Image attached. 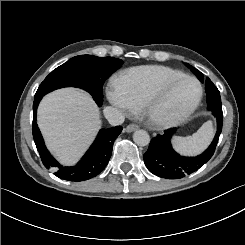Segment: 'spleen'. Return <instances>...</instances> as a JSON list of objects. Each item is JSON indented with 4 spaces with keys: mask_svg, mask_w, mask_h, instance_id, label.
Masks as SVG:
<instances>
[{
    "mask_svg": "<svg viewBox=\"0 0 245 245\" xmlns=\"http://www.w3.org/2000/svg\"><path fill=\"white\" fill-rule=\"evenodd\" d=\"M214 137V128L211 120L205 122L196 133L187 137L174 136L173 147L183 155H198L211 143Z\"/></svg>",
    "mask_w": 245,
    "mask_h": 245,
    "instance_id": "3e777b00",
    "label": "spleen"
}]
</instances>
